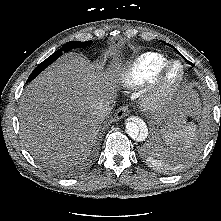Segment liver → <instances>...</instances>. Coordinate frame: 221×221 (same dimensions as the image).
<instances>
[{
  "mask_svg": "<svg viewBox=\"0 0 221 221\" xmlns=\"http://www.w3.org/2000/svg\"><path fill=\"white\" fill-rule=\"evenodd\" d=\"M118 70L103 73L68 54L28 84L20 102V130L36 158L70 166L87 157L103 120L99 104L113 99ZM184 97L186 105L196 100L192 92Z\"/></svg>",
  "mask_w": 221,
  "mask_h": 221,
  "instance_id": "obj_1",
  "label": "liver"
}]
</instances>
